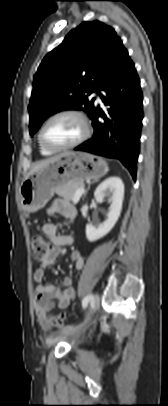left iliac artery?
Masks as SVG:
<instances>
[{
	"mask_svg": "<svg viewBox=\"0 0 168 406\" xmlns=\"http://www.w3.org/2000/svg\"><path fill=\"white\" fill-rule=\"evenodd\" d=\"M92 297H93V295H88V296H86V297L83 298V300H82V306H83V308H86V307H87L88 302H89L90 299H92ZM70 327H71V326H67V328H70Z\"/></svg>",
	"mask_w": 168,
	"mask_h": 406,
	"instance_id": "44dca946",
	"label": "left iliac artery"
}]
</instances>
